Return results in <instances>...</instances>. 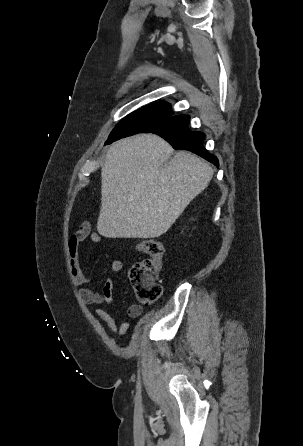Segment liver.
<instances>
[{
    "mask_svg": "<svg viewBox=\"0 0 303 446\" xmlns=\"http://www.w3.org/2000/svg\"><path fill=\"white\" fill-rule=\"evenodd\" d=\"M154 134L113 143L101 170L97 222L107 238H156L166 233L187 205L209 184L212 167Z\"/></svg>",
    "mask_w": 303,
    "mask_h": 446,
    "instance_id": "liver-1",
    "label": "liver"
}]
</instances>
